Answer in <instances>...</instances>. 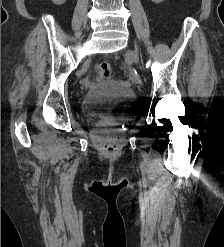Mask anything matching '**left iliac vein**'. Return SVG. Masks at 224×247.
<instances>
[{
    "label": "left iliac vein",
    "mask_w": 224,
    "mask_h": 247,
    "mask_svg": "<svg viewBox=\"0 0 224 247\" xmlns=\"http://www.w3.org/2000/svg\"><path fill=\"white\" fill-rule=\"evenodd\" d=\"M127 55L131 57L136 64H138L139 58H138V54L135 51L128 50Z\"/></svg>",
    "instance_id": "1"
}]
</instances>
